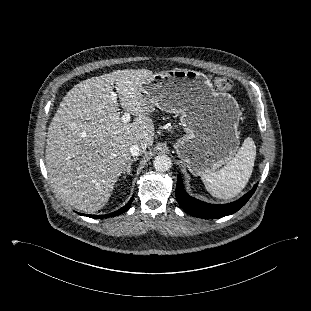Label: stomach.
Returning a JSON list of instances; mask_svg holds the SVG:
<instances>
[{"mask_svg": "<svg viewBox=\"0 0 311 311\" xmlns=\"http://www.w3.org/2000/svg\"><path fill=\"white\" fill-rule=\"evenodd\" d=\"M140 94L149 112L157 107L181 115L186 134L174 147L193 175L213 172L236 155L239 106L230 94L215 91L203 73L185 69L156 73L146 79Z\"/></svg>", "mask_w": 311, "mask_h": 311, "instance_id": "1", "label": "stomach"}]
</instances>
